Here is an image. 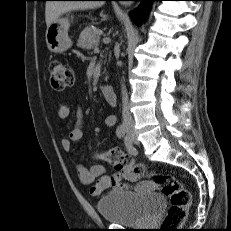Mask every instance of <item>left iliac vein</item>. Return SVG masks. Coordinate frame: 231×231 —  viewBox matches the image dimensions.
<instances>
[{"instance_id": "4c4485c4", "label": "left iliac vein", "mask_w": 231, "mask_h": 231, "mask_svg": "<svg viewBox=\"0 0 231 231\" xmlns=\"http://www.w3.org/2000/svg\"><path fill=\"white\" fill-rule=\"evenodd\" d=\"M129 136H130V138H131V141H132L134 144L139 145V140L137 139V137H136V135H135L134 132L131 131V132L129 133Z\"/></svg>"}]
</instances>
